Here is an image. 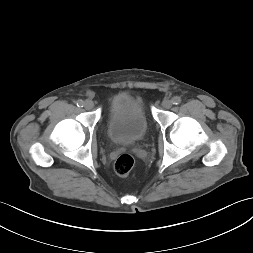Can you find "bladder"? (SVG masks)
Returning a JSON list of instances; mask_svg holds the SVG:
<instances>
[{"instance_id": "31cf9c89", "label": "bladder", "mask_w": 253, "mask_h": 253, "mask_svg": "<svg viewBox=\"0 0 253 253\" xmlns=\"http://www.w3.org/2000/svg\"><path fill=\"white\" fill-rule=\"evenodd\" d=\"M148 122L141 102L127 93L113 97L106 121V133L116 145H133L141 141Z\"/></svg>"}]
</instances>
